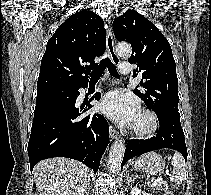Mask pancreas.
<instances>
[{
    "label": "pancreas",
    "instance_id": "obj_1",
    "mask_svg": "<svg viewBox=\"0 0 211 195\" xmlns=\"http://www.w3.org/2000/svg\"><path fill=\"white\" fill-rule=\"evenodd\" d=\"M156 188L161 191H166L168 189V183L167 182H160L156 185Z\"/></svg>",
    "mask_w": 211,
    "mask_h": 195
}]
</instances>
